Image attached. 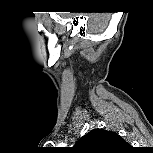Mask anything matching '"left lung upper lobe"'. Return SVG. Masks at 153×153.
<instances>
[{"label":"left lung upper lobe","mask_w":153,"mask_h":153,"mask_svg":"<svg viewBox=\"0 0 153 153\" xmlns=\"http://www.w3.org/2000/svg\"><path fill=\"white\" fill-rule=\"evenodd\" d=\"M128 146L129 144L115 132L93 129L73 148L80 153H117Z\"/></svg>","instance_id":"obj_1"}]
</instances>
